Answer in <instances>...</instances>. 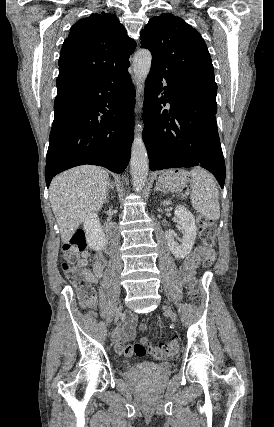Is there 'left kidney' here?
Instances as JSON below:
<instances>
[{
	"label": "left kidney",
	"mask_w": 274,
	"mask_h": 427,
	"mask_svg": "<svg viewBox=\"0 0 274 427\" xmlns=\"http://www.w3.org/2000/svg\"><path fill=\"white\" fill-rule=\"evenodd\" d=\"M163 206H168L170 202H162ZM176 217H179V223L181 225V229H184V233L182 235V239H179L181 243L176 241L174 231H165V237L167 241V245L172 251L173 255L177 257V259H183L186 257L188 253H190L192 249V245H194V239L197 235V227L195 225V217L191 212H188L184 206H177L175 210Z\"/></svg>",
	"instance_id": "left-kidney-1"
}]
</instances>
